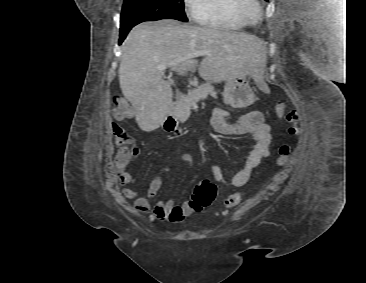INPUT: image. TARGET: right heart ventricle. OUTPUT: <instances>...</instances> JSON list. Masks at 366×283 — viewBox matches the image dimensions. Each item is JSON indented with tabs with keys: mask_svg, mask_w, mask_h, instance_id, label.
<instances>
[{
	"mask_svg": "<svg viewBox=\"0 0 366 283\" xmlns=\"http://www.w3.org/2000/svg\"><path fill=\"white\" fill-rule=\"evenodd\" d=\"M238 2L239 0H205L199 22L202 25L226 31L243 29L247 24L238 14Z\"/></svg>",
	"mask_w": 366,
	"mask_h": 283,
	"instance_id": "right-heart-ventricle-1",
	"label": "right heart ventricle"
}]
</instances>
